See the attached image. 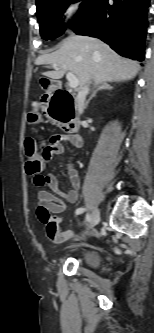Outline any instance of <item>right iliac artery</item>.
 <instances>
[{
    "label": "right iliac artery",
    "mask_w": 154,
    "mask_h": 333,
    "mask_svg": "<svg viewBox=\"0 0 154 333\" xmlns=\"http://www.w3.org/2000/svg\"><path fill=\"white\" fill-rule=\"evenodd\" d=\"M84 210H85L84 208H78L75 213H76V215H79V214L83 213ZM86 221H88V222L90 221V215L89 214L86 215Z\"/></svg>",
    "instance_id": "1"
}]
</instances>
